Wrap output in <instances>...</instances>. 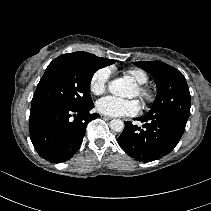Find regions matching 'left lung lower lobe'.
<instances>
[{"label": "left lung lower lobe", "mask_w": 211, "mask_h": 211, "mask_svg": "<svg viewBox=\"0 0 211 211\" xmlns=\"http://www.w3.org/2000/svg\"><path fill=\"white\" fill-rule=\"evenodd\" d=\"M134 120L145 122L144 129L125 122L118 143L127 154L144 162L170 153L180 141L186 126V123L162 114L144 115Z\"/></svg>", "instance_id": "0a47b994"}]
</instances>
